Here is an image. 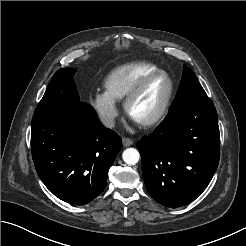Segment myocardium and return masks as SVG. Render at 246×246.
Here are the masks:
<instances>
[{
	"label": "myocardium",
	"mask_w": 246,
	"mask_h": 246,
	"mask_svg": "<svg viewBox=\"0 0 246 246\" xmlns=\"http://www.w3.org/2000/svg\"><path fill=\"white\" fill-rule=\"evenodd\" d=\"M159 76H165L168 79L169 84H170L169 93L167 95V98H166L162 108L160 109V111L154 117H152L151 119H149L147 121H143V122H136L135 121L142 128H151V127L159 124L166 117V115H167V113H168V111L170 109V106L172 104V101H173V98H174V94H175V83H174V80L164 70H159V71H155V72L149 73L146 76H144L133 87V89L128 93V95L124 99L123 106H124L125 113L127 114V116L129 118H131V116H130L131 105L137 99V97L141 94V92L144 90V88L148 85V83L151 82L153 79L159 77Z\"/></svg>",
	"instance_id": "myocardium-1"
}]
</instances>
